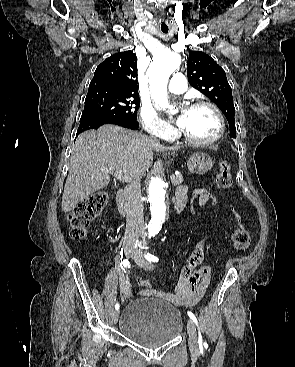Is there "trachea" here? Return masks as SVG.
<instances>
[{"mask_svg": "<svg viewBox=\"0 0 295 367\" xmlns=\"http://www.w3.org/2000/svg\"><path fill=\"white\" fill-rule=\"evenodd\" d=\"M161 31L165 34L168 33V27L167 26H161Z\"/></svg>", "mask_w": 295, "mask_h": 367, "instance_id": "trachea-1", "label": "trachea"}]
</instances>
